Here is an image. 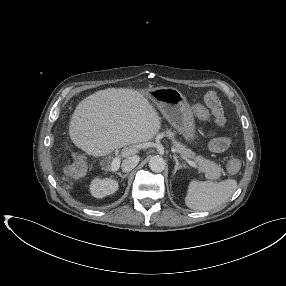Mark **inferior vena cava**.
<instances>
[{
    "mask_svg": "<svg viewBox=\"0 0 286 286\" xmlns=\"http://www.w3.org/2000/svg\"><path fill=\"white\" fill-rule=\"evenodd\" d=\"M140 161V157L137 155L127 156L122 162V171L130 172L133 168L137 166Z\"/></svg>",
    "mask_w": 286,
    "mask_h": 286,
    "instance_id": "602c4592",
    "label": "inferior vena cava"
}]
</instances>
